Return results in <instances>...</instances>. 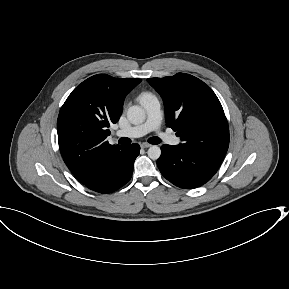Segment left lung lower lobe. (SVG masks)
I'll use <instances>...</instances> for the list:
<instances>
[{
  "mask_svg": "<svg viewBox=\"0 0 289 289\" xmlns=\"http://www.w3.org/2000/svg\"><path fill=\"white\" fill-rule=\"evenodd\" d=\"M157 166L162 175L180 188H196L217 172L221 159L176 145H163Z\"/></svg>",
  "mask_w": 289,
  "mask_h": 289,
  "instance_id": "left-lung-lower-lobe-1",
  "label": "left lung lower lobe"
}]
</instances>
